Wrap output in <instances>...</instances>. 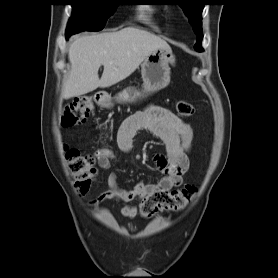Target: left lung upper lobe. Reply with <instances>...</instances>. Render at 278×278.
<instances>
[{
  "instance_id": "left-lung-upper-lobe-1",
  "label": "left lung upper lobe",
  "mask_w": 278,
  "mask_h": 278,
  "mask_svg": "<svg viewBox=\"0 0 278 278\" xmlns=\"http://www.w3.org/2000/svg\"><path fill=\"white\" fill-rule=\"evenodd\" d=\"M178 4L182 7L183 11L187 15L190 24L198 38L194 48L196 51H203L201 47L202 34V10L204 7L203 0H177Z\"/></svg>"
}]
</instances>
